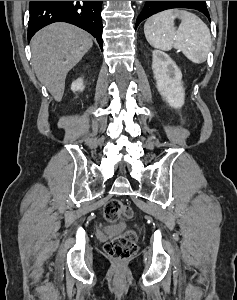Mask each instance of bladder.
Listing matches in <instances>:
<instances>
[{"instance_id":"obj_1","label":"bladder","mask_w":237,"mask_h":300,"mask_svg":"<svg viewBox=\"0 0 237 300\" xmlns=\"http://www.w3.org/2000/svg\"><path fill=\"white\" fill-rule=\"evenodd\" d=\"M119 229H120V227H114V228H110V231H117Z\"/></svg>"}]
</instances>
